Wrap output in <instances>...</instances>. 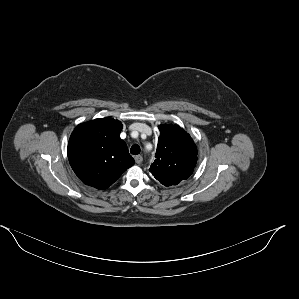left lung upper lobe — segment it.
<instances>
[{
  "label": "left lung upper lobe",
  "mask_w": 299,
  "mask_h": 299,
  "mask_svg": "<svg viewBox=\"0 0 299 299\" xmlns=\"http://www.w3.org/2000/svg\"><path fill=\"white\" fill-rule=\"evenodd\" d=\"M156 160L150 166L153 176L162 182L188 179L197 163V148L190 135L178 125H159Z\"/></svg>",
  "instance_id": "5c2ea615"
}]
</instances>
